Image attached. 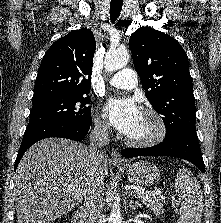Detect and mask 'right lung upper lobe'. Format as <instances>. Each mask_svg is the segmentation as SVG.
<instances>
[{
    "instance_id": "obj_1",
    "label": "right lung upper lobe",
    "mask_w": 221,
    "mask_h": 223,
    "mask_svg": "<svg viewBox=\"0 0 221 223\" xmlns=\"http://www.w3.org/2000/svg\"><path fill=\"white\" fill-rule=\"evenodd\" d=\"M95 48L94 35L86 28L53 43L39 67L33 101L89 92Z\"/></svg>"
}]
</instances>
